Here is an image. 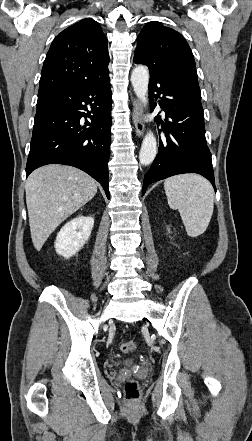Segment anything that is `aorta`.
Instances as JSON below:
<instances>
[{"mask_svg":"<svg viewBox=\"0 0 252 441\" xmlns=\"http://www.w3.org/2000/svg\"><path fill=\"white\" fill-rule=\"evenodd\" d=\"M131 82L134 92L141 103L146 106L148 102V83H149V71L143 66H136L131 75ZM157 154V142L154 134L148 132L142 142L139 152V161L141 165H150Z\"/></svg>","mask_w":252,"mask_h":441,"instance_id":"obj_1","label":"aorta"}]
</instances>
